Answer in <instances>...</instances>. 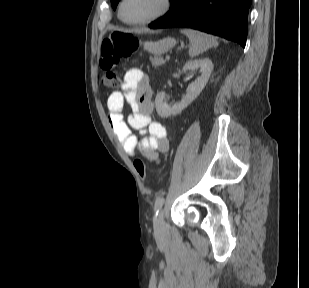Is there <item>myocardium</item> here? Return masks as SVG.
<instances>
[{
  "mask_svg": "<svg viewBox=\"0 0 309 288\" xmlns=\"http://www.w3.org/2000/svg\"><path fill=\"white\" fill-rule=\"evenodd\" d=\"M126 0H121L119 7H118V15L121 21L129 26H141V25H146L150 24L162 17H164L166 14L169 13V11L172 8V3L173 0H160V8L151 16L139 20V21H128L124 18L123 16V7L125 4Z\"/></svg>",
  "mask_w": 309,
  "mask_h": 288,
  "instance_id": "myocardium-1",
  "label": "myocardium"
}]
</instances>
